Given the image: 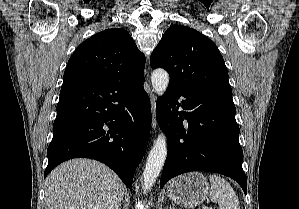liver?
I'll return each mask as SVG.
<instances>
[{"instance_id": "6515ba94", "label": "liver", "mask_w": 299, "mask_h": 209, "mask_svg": "<svg viewBox=\"0 0 299 209\" xmlns=\"http://www.w3.org/2000/svg\"><path fill=\"white\" fill-rule=\"evenodd\" d=\"M45 186L46 209H118L125 188L110 168L90 159L62 163Z\"/></svg>"}]
</instances>
